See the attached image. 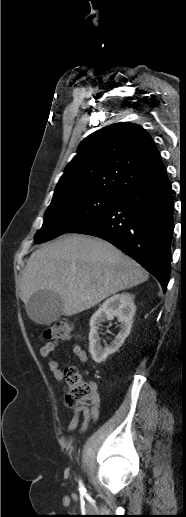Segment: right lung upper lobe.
Listing matches in <instances>:
<instances>
[{"instance_id":"obj_1","label":"right lung upper lobe","mask_w":186,"mask_h":517,"mask_svg":"<svg viewBox=\"0 0 186 517\" xmlns=\"http://www.w3.org/2000/svg\"><path fill=\"white\" fill-rule=\"evenodd\" d=\"M165 175L151 136L139 125L117 123L94 132L80 144L53 199L81 193L120 197Z\"/></svg>"}]
</instances>
